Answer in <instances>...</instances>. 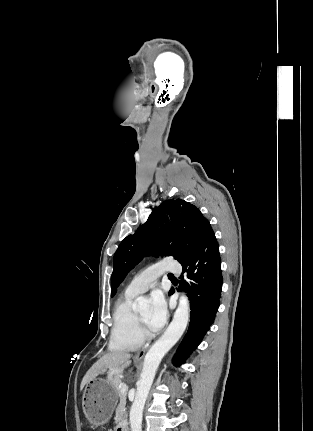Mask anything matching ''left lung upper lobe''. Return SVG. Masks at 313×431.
<instances>
[{
    "instance_id": "5c2ea615",
    "label": "left lung upper lobe",
    "mask_w": 313,
    "mask_h": 431,
    "mask_svg": "<svg viewBox=\"0 0 313 431\" xmlns=\"http://www.w3.org/2000/svg\"><path fill=\"white\" fill-rule=\"evenodd\" d=\"M209 225L200 210L184 200L165 201L154 208L147 222L127 236L115 252L111 296L146 254L158 252L161 256H173L179 263L185 261Z\"/></svg>"
}]
</instances>
